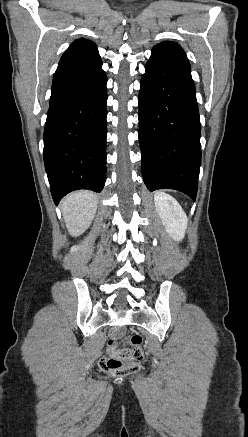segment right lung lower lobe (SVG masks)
<instances>
[{
    "label": "right lung lower lobe",
    "mask_w": 248,
    "mask_h": 437,
    "mask_svg": "<svg viewBox=\"0 0 248 437\" xmlns=\"http://www.w3.org/2000/svg\"><path fill=\"white\" fill-rule=\"evenodd\" d=\"M100 57L59 62L44 129V163L55 204L106 179L107 78Z\"/></svg>",
    "instance_id": "right-lung-lower-lobe-1"
}]
</instances>
